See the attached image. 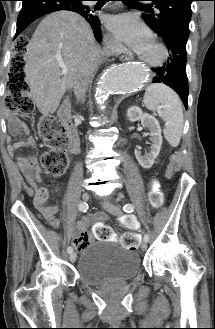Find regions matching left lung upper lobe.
Returning a JSON list of instances; mask_svg holds the SVG:
<instances>
[{
  "label": "left lung upper lobe",
  "instance_id": "5c2ea615",
  "mask_svg": "<svg viewBox=\"0 0 215 329\" xmlns=\"http://www.w3.org/2000/svg\"><path fill=\"white\" fill-rule=\"evenodd\" d=\"M158 13L142 14L145 23L157 34L174 29L189 37L191 3L194 0H151Z\"/></svg>",
  "mask_w": 215,
  "mask_h": 329
}]
</instances>
